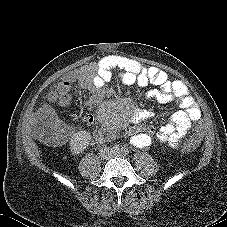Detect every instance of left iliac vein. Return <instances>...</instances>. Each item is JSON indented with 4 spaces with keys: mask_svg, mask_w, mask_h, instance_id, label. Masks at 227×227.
<instances>
[{
    "mask_svg": "<svg viewBox=\"0 0 227 227\" xmlns=\"http://www.w3.org/2000/svg\"><path fill=\"white\" fill-rule=\"evenodd\" d=\"M112 156L124 157L125 155H124L123 152L117 151V152H113V153H112Z\"/></svg>",
    "mask_w": 227,
    "mask_h": 227,
    "instance_id": "4c4485c4",
    "label": "left iliac vein"
}]
</instances>
